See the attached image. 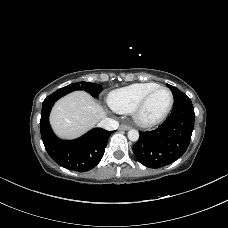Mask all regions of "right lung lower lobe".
<instances>
[{
    "instance_id": "obj_1",
    "label": "right lung lower lobe",
    "mask_w": 228,
    "mask_h": 228,
    "mask_svg": "<svg viewBox=\"0 0 228 228\" xmlns=\"http://www.w3.org/2000/svg\"><path fill=\"white\" fill-rule=\"evenodd\" d=\"M62 96L53 93L43 101L40 120L42 141L50 157L61 166L78 172L88 171L102 159L111 132L95 128L75 140L57 138L49 124V113L55 101Z\"/></svg>"
}]
</instances>
